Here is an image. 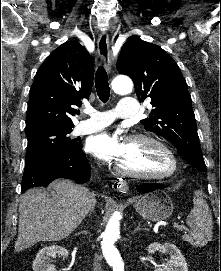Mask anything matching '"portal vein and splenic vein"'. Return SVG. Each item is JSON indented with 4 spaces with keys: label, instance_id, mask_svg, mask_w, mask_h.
<instances>
[{
    "label": "portal vein and splenic vein",
    "instance_id": "1",
    "mask_svg": "<svg viewBox=\"0 0 221 271\" xmlns=\"http://www.w3.org/2000/svg\"><path fill=\"white\" fill-rule=\"evenodd\" d=\"M174 227H178V229H182L184 225H178L177 221H174Z\"/></svg>",
    "mask_w": 221,
    "mask_h": 271
}]
</instances>
